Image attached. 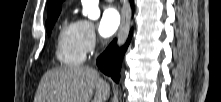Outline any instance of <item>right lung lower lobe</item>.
I'll return each mask as SVG.
<instances>
[{
	"mask_svg": "<svg viewBox=\"0 0 221 102\" xmlns=\"http://www.w3.org/2000/svg\"><path fill=\"white\" fill-rule=\"evenodd\" d=\"M130 1L133 2V0ZM131 36L132 31L129 34L126 44L121 48H118L116 46L115 39L97 60V65L99 66L101 71L106 75L111 76V78L117 83L119 82L120 78L122 59L127 46L130 43Z\"/></svg>",
	"mask_w": 221,
	"mask_h": 102,
	"instance_id": "obj_1",
	"label": "right lung lower lobe"
}]
</instances>
